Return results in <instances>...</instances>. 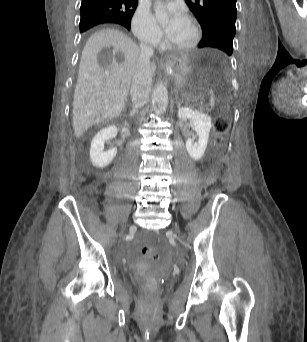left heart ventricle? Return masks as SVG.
I'll return each mask as SVG.
<instances>
[{"instance_id":"b2bd125f","label":"left heart ventricle","mask_w":307,"mask_h":342,"mask_svg":"<svg viewBox=\"0 0 307 342\" xmlns=\"http://www.w3.org/2000/svg\"><path fill=\"white\" fill-rule=\"evenodd\" d=\"M190 38H191V32L188 27L187 30L184 32V34L177 41L171 43L170 46L174 49L181 48L189 42Z\"/></svg>"}]
</instances>
